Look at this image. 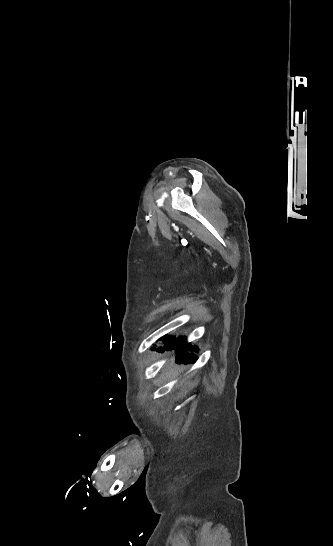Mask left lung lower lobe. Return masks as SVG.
Listing matches in <instances>:
<instances>
[{
    "label": "left lung lower lobe",
    "instance_id": "0a47b994",
    "mask_svg": "<svg viewBox=\"0 0 333 546\" xmlns=\"http://www.w3.org/2000/svg\"><path fill=\"white\" fill-rule=\"evenodd\" d=\"M159 340H163L164 347H159L158 350L161 352H164L165 350L171 351L176 350L177 359L176 362L179 363L180 361H183V363L191 362L194 363L197 359V356L193 353H189L188 351H197L196 347H193L190 345V343L187 342L186 338L178 337L177 339L169 337V336H163ZM154 349V348H153Z\"/></svg>",
    "mask_w": 333,
    "mask_h": 546
}]
</instances>
